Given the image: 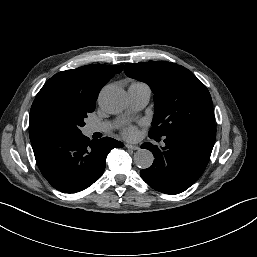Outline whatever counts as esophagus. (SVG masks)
<instances>
[{
    "instance_id": "1",
    "label": "esophagus",
    "mask_w": 257,
    "mask_h": 257,
    "mask_svg": "<svg viewBox=\"0 0 257 257\" xmlns=\"http://www.w3.org/2000/svg\"><path fill=\"white\" fill-rule=\"evenodd\" d=\"M125 147L128 148V149H132V150H138V149H139V146H138V145L129 144V143H126V144H125Z\"/></svg>"
}]
</instances>
